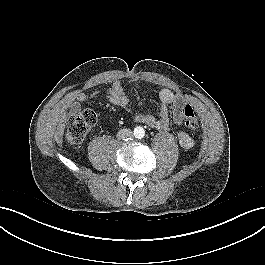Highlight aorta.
I'll return each instance as SVG.
<instances>
[{
  "label": "aorta",
  "mask_w": 265,
  "mask_h": 265,
  "mask_svg": "<svg viewBox=\"0 0 265 265\" xmlns=\"http://www.w3.org/2000/svg\"><path fill=\"white\" fill-rule=\"evenodd\" d=\"M144 136V131L141 128L136 129V137L142 138Z\"/></svg>",
  "instance_id": "1"
}]
</instances>
